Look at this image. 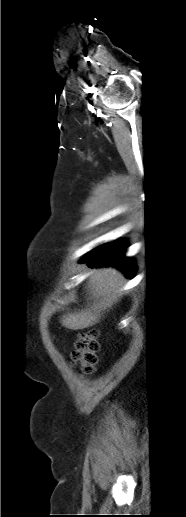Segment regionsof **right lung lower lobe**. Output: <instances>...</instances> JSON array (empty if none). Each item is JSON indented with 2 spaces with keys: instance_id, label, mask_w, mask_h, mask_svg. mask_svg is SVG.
Returning a JSON list of instances; mask_svg holds the SVG:
<instances>
[{
  "instance_id": "98d812e1",
  "label": "right lung lower lobe",
  "mask_w": 186,
  "mask_h": 517,
  "mask_svg": "<svg viewBox=\"0 0 186 517\" xmlns=\"http://www.w3.org/2000/svg\"><path fill=\"white\" fill-rule=\"evenodd\" d=\"M126 248L125 240L106 243L88 252L81 262H87L92 267L112 265L121 269L128 278H133L134 264L131 259L123 256Z\"/></svg>"
}]
</instances>
